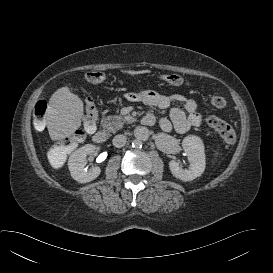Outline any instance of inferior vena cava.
I'll list each match as a JSON object with an SVG mask.
<instances>
[{
	"label": "inferior vena cava",
	"mask_w": 273,
	"mask_h": 273,
	"mask_svg": "<svg viewBox=\"0 0 273 273\" xmlns=\"http://www.w3.org/2000/svg\"><path fill=\"white\" fill-rule=\"evenodd\" d=\"M127 138L125 135L118 134L113 138V145L117 148L124 147L126 144Z\"/></svg>",
	"instance_id": "1"
}]
</instances>
